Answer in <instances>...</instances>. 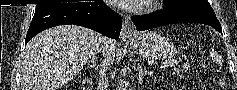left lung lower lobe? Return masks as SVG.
<instances>
[{
    "mask_svg": "<svg viewBox=\"0 0 237 90\" xmlns=\"http://www.w3.org/2000/svg\"><path fill=\"white\" fill-rule=\"evenodd\" d=\"M131 20L138 31L175 23H201L212 26L222 34L221 25L215 13L197 10L164 9L148 15L133 16Z\"/></svg>",
    "mask_w": 237,
    "mask_h": 90,
    "instance_id": "obj_1",
    "label": "left lung lower lobe"
}]
</instances>
